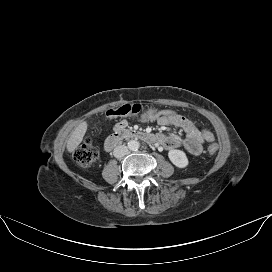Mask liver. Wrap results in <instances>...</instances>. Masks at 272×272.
I'll return each instance as SVG.
<instances>
[{
    "mask_svg": "<svg viewBox=\"0 0 272 272\" xmlns=\"http://www.w3.org/2000/svg\"><path fill=\"white\" fill-rule=\"evenodd\" d=\"M87 131L86 121L81 122L71 133L70 138L67 141V151L73 152L77 149L79 144L82 142L83 137Z\"/></svg>",
    "mask_w": 272,
    "mask_h": 272,
    "instance_id": "liver-1",
    "label": "liver"
}]
</instances>
